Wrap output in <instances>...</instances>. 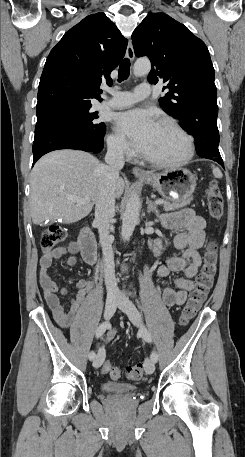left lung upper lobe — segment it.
<instances>
[{"label":"left lung upper lobe","mask_w":245,"mask_h":457,"mask_svg":"<svg viewBox=\"0 0 245 457\" xmlns=\"http://www.w3.org/2000/svg\"><path fill=\"white\" fill-rule=\"evenodd\" d=\"M137 57H149L150 83L162 80L169 89L161 108L188 122L209 115L217 118V90L208 48L185 25L165 13L150 12L132 34Z\"/></svg>","instance_id":"5c2ea615"}]
</instances>
